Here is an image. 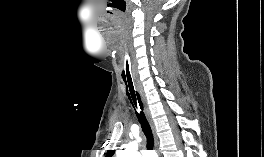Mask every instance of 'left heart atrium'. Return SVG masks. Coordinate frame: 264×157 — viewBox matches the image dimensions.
<instances>
[{"label": "left heart atrium", "mask_w": 264, "mask_h": 157, "mask_svg": "<svg viewBox=\"0 0 264 157\" xmlns=\"http://www.w3.org/2000/svg\"><path fill=\"white\" fill-rule=\"evenodd\" d=\"M149 157H156L155 155H151V156H149Z\"/></svg>", "instance_id": "left-heart-atrium-1"}]
</instances>
